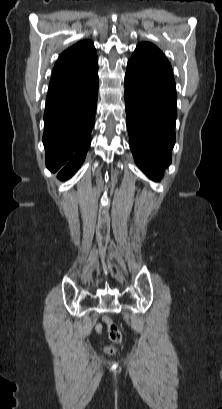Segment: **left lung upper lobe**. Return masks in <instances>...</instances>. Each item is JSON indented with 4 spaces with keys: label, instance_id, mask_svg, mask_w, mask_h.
Here are the masks:
<instances>
[{
    "label": "left lung upper lobe",
    "instance_id": "5c2ea615",
    "mask_svg": "<svg viewBox=\"0 0 222 409\" xmlns=\"http://www.w3.org/2000/svg\"><path fill=\"white\" fill-rule=\"evenodd\" d=\"M127 72L176 91L172 67L161 50L152 43L138 44L128 61Z\"/></svg>",
    "mask_w": 222,
    "mask_h": 409
}]
</instances>
